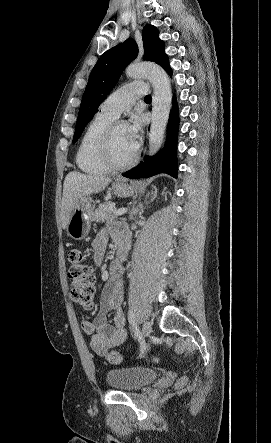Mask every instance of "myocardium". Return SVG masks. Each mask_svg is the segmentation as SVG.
<instances>
[{"label": "myocardium", "mask_w": 271, "mask_h": 443, "mask_svg": "<svg viewBox=\"0 0 271 443\" xmlns=\"http://www.w3.org/2000/svg\"><path fill=\"white\" fill-rule=\"evenodd\" d=\"M119 125H125L121 120H113L107 127L102 142H101V154L106 165L112 170H125L136 163L138 160V151L134 156L125 162H119L116 160L113 153V136L114 132Z\"/></svg>", "instance_id": "f54148a6"}]
</instances>
